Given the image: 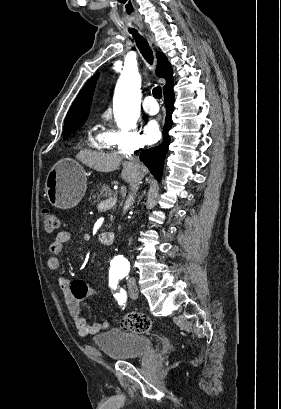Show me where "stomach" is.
I'll return each mask as SVG.
<instances>
[{
    "mask_svg": "<svg viewBox=\"0 0 281 409\" xmlns=\"http://www.w3.org/2000/svg\"><path fill=\"white\" fill-rule=\"evenodd\" d=\"M87 188L86 172L74 158H61L49 170L45 180L46 196L57 209H72Z\"/></svg>",
    "mask_w": 281,
    "mask_h": 409,
    "instance_id": "obj_1",
    "label": "stomach"
}]
</instances>
